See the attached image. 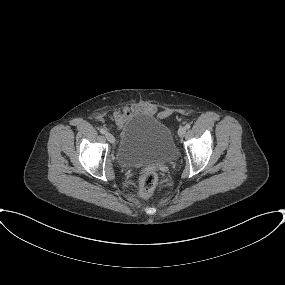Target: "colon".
I'll use <instances>...</instances> for the list:
<instances>
[{
	"label": "colon",
	"mask_w": 285,
	"mask_h": 285,
	"mask_svg": "<svg viewBox=\"0 0 285 285\" xmlns=\"http://www.w3.org/2000/svg\"><path fill=\"white\" fill-rule=\"evenodd\" d=\"M157 184V176L151 171L147 170L141 177L139 182V194L142 197L149 196L155 189Z\"/></svg>",
	"instance_id": "5ec220e1"
}]
</instances>
